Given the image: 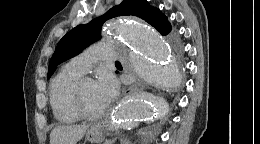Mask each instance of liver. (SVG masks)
<instances>
[{
  "label": "liver",
  "instance_id": "6515ba94",
  "mask_svg": "<svg viewBox=\"0 0 260 144\" xmlns=\"http://www.w3.org/2000/svg\"><path fill=\"white\" fill-rule=\"evenodd\" d=\"M88 125H62L50 133V144H76L85 135Z\"/></svg>",
  "mask_w": 260,
  "mask_h": 144
}]
</instances>
